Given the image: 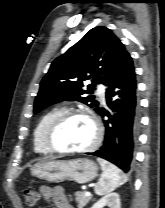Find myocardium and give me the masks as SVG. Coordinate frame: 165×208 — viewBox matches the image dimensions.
Segmentation results:
<instances>
[{
	"instance_id": "f54148a6",
	"label": "myocardium",
	"mask_w": 165,
	"mask_h": 208,
	"mask_svg": "<svg viewBox=\"0 0 165 208\" xmlns=\"http://www.w3.org/2000/svg\"><path fill=\"white\" fill-rule=\"evenodd\" d=\"M72 117H84L88 119L94 128V137L92 142L80 149H63L55 145L53 136L56 130L69 118ZM102 128L98 119L90 112L86 110H64L60 113L47 127L44 135L46 146L51 152L59 154H83L94 150L101 142Z\"/></svg>"
}]
</instances>
